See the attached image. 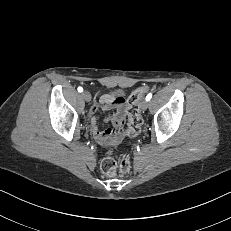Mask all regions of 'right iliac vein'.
<instances>
[{"instance_id": "obj_1", "label": "right iliac vein", "mask_w": 231, "mask_h": 231, "mask_svg": "<svg viewBox=\"0 0 231 231\" xmlns=\"http://www.w3.org/2000/svg\"><path fill=\"white\" fill-rule=\"evenodd\" d=\"M82 97L87 102L91 101V94L88 91L82 92Z\"/></svg>"}]
</instances>
